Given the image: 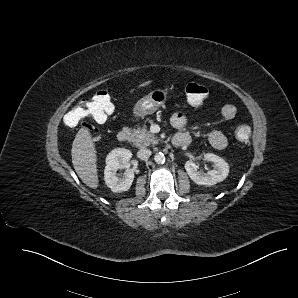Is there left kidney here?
<instances>
[{"label": "left kidney", "mask_w": 298, "mask_h": 298, "mask_svg": "<svg viewBox=\"0 0 298 298\" xmlns=\"http://www.w3.org/2000/svg\"><path fill=\"white\" fill-rule=\"evenodd\" d=\"M205 160L215 164L214 168L205 174L197 171L198 166L194 161L189 160L185 163L186 172L196 184L212 186L229 175V163L223 158L208 152L205 154Z\"/></svg>", "instance_id": "1"}]
</instances>
